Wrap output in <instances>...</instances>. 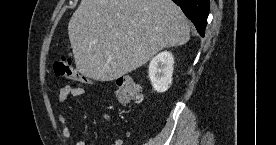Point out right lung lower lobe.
<instances>
[{"label":"right lung lower lobe","mask_w":276,"mask_h":145,"mask_svg":"<svg viewBox=\"0 0 276 145\" xmlns=\"http://www.w3.org/2000/svg\"><path fill=\"white\" fill-rule=\"evenodd\" d=\"M181 7L184 14L193 22L198 33L203 37L209 13V0H173Z\"/></svg>","instance_id":"98d812e1"}]
</instances>
